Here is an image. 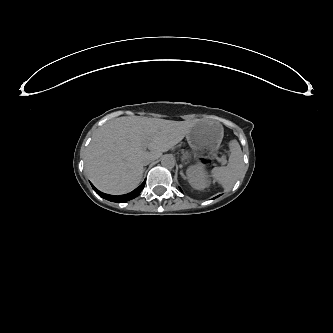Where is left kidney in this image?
Listing matches in <instances>:
<instances>
[{"instance_id":"left-kidney-1","label":"left kidney","mask_w":333,"mask_h":333,"mask_svg":"<svg viewBox=\"0 0 333 333\" xmlns=\"http://www.w3.org/2000/svg\"><path fill=\"white\" fill-rule=\"evenodd\" d=\"M186 176L189 184L196 190H203L211 184L209 172L202 163L188 166Z\"/></svg>"}]
</instances>
